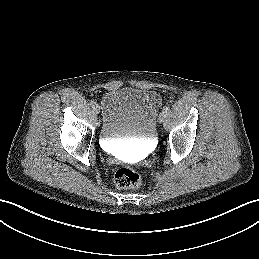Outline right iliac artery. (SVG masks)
<instances>
[{"label": "right iliac artery", "instance_id": "obj_1", "mask_svg": "<svg viewBox=\"0 0 259 259\" xmlns=\"http://www.w3.org/2000/svg\"><path fill=\"white\" fill-rule=\"evenodd\" d=\"M95 104H96V103H95L94 101H91V102H90V105H91L92 107H94Z\"/></svg>", "mask_w": 259, "mask_h": 259}]
</instances>
